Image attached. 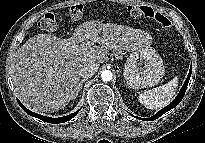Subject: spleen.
<instances>
[{
    "mask_svg": "<svg viewBox=\"0 0 205 143\" xmlns=\"http://www.w3.org/2000/svg\"><path fill=\"white\" fill-rule=\"evenodd\" d=\"M178 88V78L175 77L168 83L153 88L139 95V101L148 109H162L167 106L175 96Z\"/></svg>",
    "mask_w": 205,
    "mask_h": 143,
    "instance_id": "spleen-1",
    "label": "spleen"
}]
</instances>
